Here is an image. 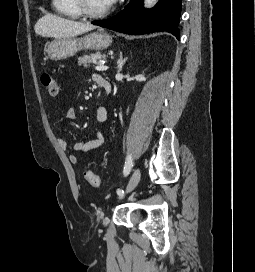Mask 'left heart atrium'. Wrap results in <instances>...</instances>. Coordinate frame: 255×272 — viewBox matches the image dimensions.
Segmentation results:
<instances>
[{"mask_svg": "<svg viewBox=\"0 0 255 272\" xmlns=\"http://www.w3.org/2000/svg\"><path fill=\"white\" fill-rule=\"evenodd\" d=\"M117 0H107L109 5H113Z\"/></svg>", "mask_w": 255, "mask_h": 272, "instance_id": "left-heart-atrium-1", "label": "left heart atrium"}]
</instances>
